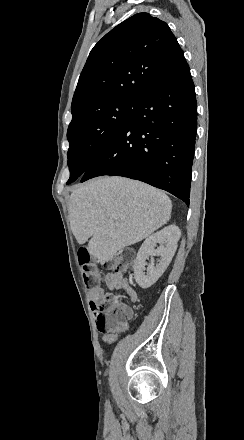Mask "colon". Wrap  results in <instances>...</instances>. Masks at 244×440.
Instances as JSON below:
<instances>
[{
	"instance_id": "colon-1",
	"label": "colon",
	"mask_w": 244,
	"mask_h": 440,
	"mask_svg": "<svg viewBox=\"0 0 244 440\" xmlns=\"http://www.w3.org/2000/svg\"><path fill=\"white\" fill-rule=\"evenodd\" d=\"M119 259L112 262V271L115 273L131 272L134 270V248H119ZM80 264L79 269L83 271L86 282L85 293L95 294V280L99 277V262L89 261L90 251L88 248H79L77 251ZM90 311L94 319H104L105 329H122L128 321L130 314L133 313L132 305H125L119 293H106L103 300L96 304V300H91Z\"/></svg>"
}]
</instances>
